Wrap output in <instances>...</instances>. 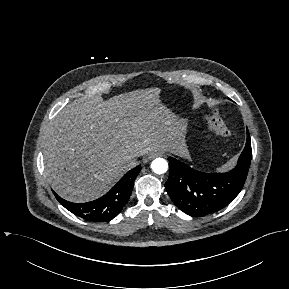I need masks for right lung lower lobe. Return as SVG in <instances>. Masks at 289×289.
<instances>
[{
	"label": "right lung lower lobe",
	"mask_w": 289,
	"mask_h": 289,
	"mask_svg": "<svg viewBox=\"0 0 289 289\" xmlns=\"http://www.w3.org/2000/svg\"><path fill=\"white\" fill-rule=\"evenodd\" d=\"M141 166L127 172L121 180L101 198L87 203H72L62 199L55 192L56 199L72 213L94 222L107 221L115 217L129 200L134 180Z\"/></svg>",
	"instance_id": "98d812e1"
}]
</instances>
